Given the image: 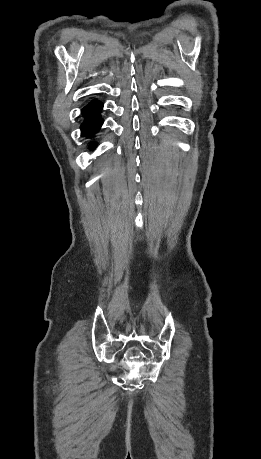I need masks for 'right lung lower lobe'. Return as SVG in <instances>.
Masks as SVG:
<instances>
[{"label": "right lung lower lobe", "instance_id": "obj_1", "mask_svg": "<svg viewBox=\"0 0 261 459\" xmlns=\"http://www.w3.org/2000/svg\"><path fill=\"white\" fill-rule=\"evenodd\" d=\"M102 108L103 104L97 100H93L84 107L82 114L86 120L81 125V131L84 136H91L95 134L101 127L103 123V119L100 117Z\"/></svg>", "mask_w": 261, "mask_h": 459}]
</instances>
